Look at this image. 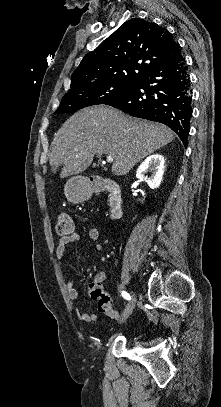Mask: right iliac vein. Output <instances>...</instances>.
<instances>
[{
	"mask_svg": "<svg viewBox=\"0 0 221 407\" xmlns=\"http://www.w3.org/2000/svg\"><path fill=\"white\" fill-rule=\"evenodd\" d=\"M136 301H137L136 295H135L134 292H132L131 301H130V303L128 304V306L125 308L124 315H123L122 320H121L120 323H123V322L126 321L127 317L131 314V312H132V310H133V308H134V306H135V304H136Z\"/></svg>",
	"mask_w": 221,
	"mask_h": 407,
	"instance_id": "right-iliac-vein-1",
	"label": "right iliac vein"
}]
</instances>
